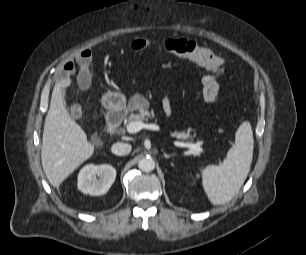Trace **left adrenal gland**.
Instances as JSON below:
<instances>
[{"label": "left adrenal gland", "instance_id": "left-adrenal-gland-1", "mask_svg": "<svg viewBox=\"0 0 306 255\" xmlns=\"http://www.w3.org/2000/svg\"><path fill=\"white\" fill-rule=\"evenodd\" d=\"M176 155V153H172V154H166L165 152H163V156L166 158V159H169L171 157H174Z\"/></svg>", "mask_w": 306, "mask_h": 255}]
</instances>
